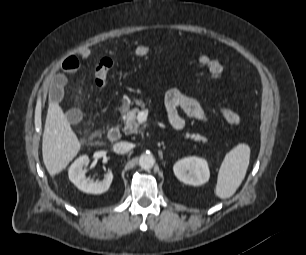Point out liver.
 Masks as SVG:
<instances>
[{
	"mask_svg": "<svg viewBox=\"0 0 306 255\" xmlns=\"http://www.w3.org/2000/svg\"><path fill=\"white\" fill-rule=\"evenodd\" d=\"M80 148L81 143L58 102H50L42 139L43 162L48 173L59 174Z\"/></svg>",
	"mask_w": 306,
	"mask_h": 255,
	"instance_id": "obj_1",
	"label": "liver"
}]
</instances>
